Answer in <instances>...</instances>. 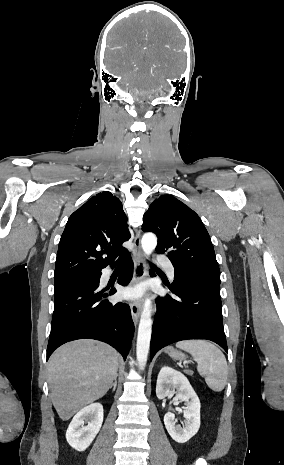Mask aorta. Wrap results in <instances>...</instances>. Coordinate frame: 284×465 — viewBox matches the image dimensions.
Instances as JSON below:
<instances>
[{
	"instance_id": "1",
	"label": "aorta",
	"mask_w": 284,
	"mask_h": 465,
	"mask_svg": "<svg viewBox=\"0 0 284 465\" xmlns=\"http://www.w3.org/2000/svg\"><path fill=\"white\" fill-rule=\"evenodd\" d=\"M156 245L157 238L153 233H146L143 235L141 246L145 255L149 256L156 248ZM151 309V301L147 298L140 318L136 345V356L140 370H144L149 353L152 333Z\"/></svg>"
}]
</instances>
